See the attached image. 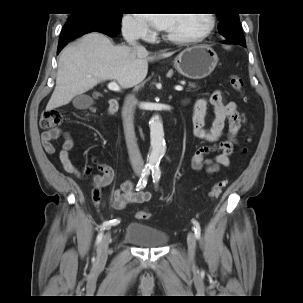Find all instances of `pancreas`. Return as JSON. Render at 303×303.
Masks as SVG:
<instances>
[{"mask_svg": "<svg viewBox=\"0 0 303 303\" xmlns=\"http://www.w3.org/2000/svg\"><path fill=\"white\" fill-rule=\"evenodd\" d=\"M189 87H190V88H195V87H196V85H195V83H191V82H189Z\"/></svg>", "mask_w": 303, "mask_h": 303, "instance_id": "pancreas-1", "label": "pancreas"}]
</instances>
